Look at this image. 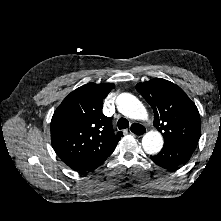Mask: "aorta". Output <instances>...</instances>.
<instances>
[{
    "label": "aorta",
    "instance_id": "762f6f07",
    "mask_svg": "<svg viewBox=\"0 0 221 221\" xmlns=\"http://www.w3.org/2000/svg\"><path fill=\"white\" fill-rule=\"evenodd\" d=\"M116 105L118 111L130 119L145 120L148 117L144 105L132 94H120L116 99ZM142 147L149 155L157 154L163 147L162 135L157 130L149 131L142 138Z\"/></svg>",
    "mask_w": 221,
    "mask_h": 221
}]
</instances>
